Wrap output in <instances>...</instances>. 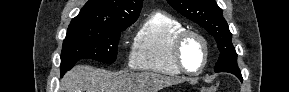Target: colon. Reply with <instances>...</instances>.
Returning <instances> with one entry per match:
<instances>
[{
    "label": "colon",
    "mask_w": 289,
    "mask_h": 92,
    "mask_svg": "<svg viewBox=\"0 0 289 92\" xmlns=\"http://www.w3.org/2000/svg\"><path fill=\"white\" fill-rule=\"evenodd\" d=\"M215 91H217V87L216 86L207 87V88H204L202 90V92H215Z\"/></svg>",
    "instance_id": "colon-1"
}]
</instances>
